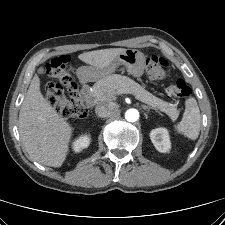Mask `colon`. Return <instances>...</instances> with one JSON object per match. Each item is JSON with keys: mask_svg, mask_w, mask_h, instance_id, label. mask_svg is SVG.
<instances>
[{"mask_svg": "<svg viewBox=\"0 0 225 225\" xmlns=\"http://www.w3.org/2000/svg\"><path fill=\"white\" fill-rule=\"evenodd\" d=\"M69 57L58 56L47 64V74L58 82H49L45 87V97L48 103L66 118H85L88 114L82 94L78 91L68 71ZM168 67L167 61L152 55L146 60V71L155 79H161ZM167 93L178 98H188L191 89L182 79H177L168 88Z\"/></svg>", "mask_w": 225, "mask_h": 225, "instance_id": "obj_1", "label": "colon"}]
</instances>
